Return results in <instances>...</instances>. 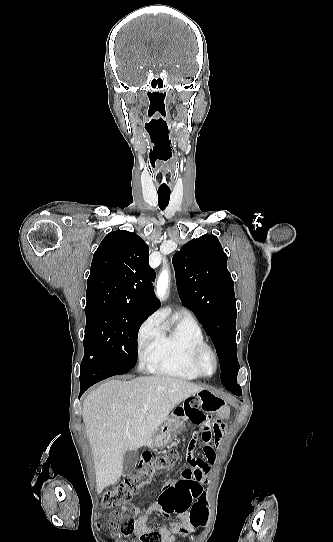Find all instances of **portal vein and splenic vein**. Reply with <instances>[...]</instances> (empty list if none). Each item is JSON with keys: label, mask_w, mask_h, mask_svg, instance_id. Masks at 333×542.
Instances as JSON below:
<instances>
[{"label": "portal vein and splenic vein", "mask_w": 333, "mask_h": 542, "mask_svg": "<svg viewBox=\"0 0 333 542\" xmlns=\"http://www.w3.org/2000/svg\"><path fill=\"white\" fill-rule=\"evenodd\" d=\"M147 410H148V406H144V414H146Z\"/></svg>", "instance_id": "portal-vein-and-splenic-vein-1"}]
</instances>
